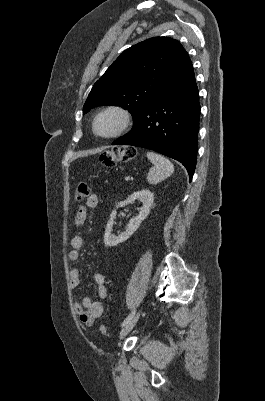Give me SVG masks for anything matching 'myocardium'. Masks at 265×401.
<instances>
[{
	"mask_svg": "<svg viewBox=\"0 0 265 401\" xmlns=\"http://www.w3.org/2000/svg\"><path fill=\"white\" fill-rule=\"evenodd\" d=\"M106 114L116 115L118 117L119 124H118V127L116 128V130L114 132H112L111 134L100 135L96 130V124H97V121L99 120V118H101L102 116H104ZM129 122H130V113L126 108H124L122 106H118V105H110V106L103 108L101 111H99L93 118L92 126H91L92 133L96 138H99V139H111V138H114V137L120 135L126 129Z\"/></svg>",
	"mask_w": 265,
	"mask_h": 401,
	"instance_id": "myocardium-1",
	"label": "myocardium"
}]
</instances>
